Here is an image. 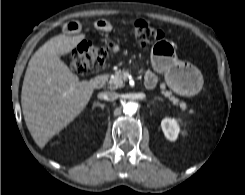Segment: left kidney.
Wrapping results in <instances>:
<instances>
[{
    "label": "left kidney",
    "mask_w": 245,
    "mask_h": 195,
    "mask_svg": "<svg viewBox=\"0 0 245 195\" xmlns=\"http://www.w3.org/2000/svg\"><path fill=\"white\" fill-rule=\"evenodd\" d=\"M161 127L168 140L175 141L177 139L180 129L175 119H163Z\"/></svg>",
    "instance_id": "obj_1"
}]
</instances>
